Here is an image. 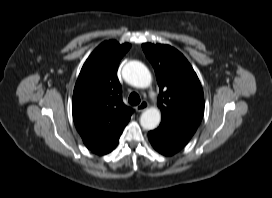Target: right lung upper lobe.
I'll return each mask as SVG.
<instances>
[{
  "label": "right lung upper lobe",
  "instance_id": "1",
  "mask_svg": "<svg viewBox=\"0 0 272 198\" xmlns=\"http://www.w3.org/2000/svg\"><path fill=\"white\" fill-rule=\"evenodd\" d=\"M130 44L115 40L100 44L84 63L76 82L72 113L84 144L93 149L103 144L133 112L122 101L117 69Z\"/></svg>",
  "mask_w": 272,
  "mask_h": 198
}]
</instances>
